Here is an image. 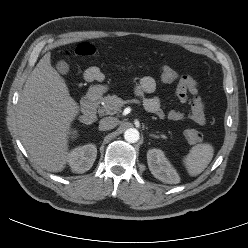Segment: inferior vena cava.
Instances as JSON below:
<instances>
[{"mask_svg":"<svg viewBox=\"0 0 248 248\" xmlns=\"http://www.w3.org/2000/svg\"><path fill=\"white\" fill-rule=\"evenodd\" d=\"M119 120L115 117H105L99 122V129L102 131L110 130L118 125Z\"/></svg>","mask_w":248,"mask_h":248,"instance_id":"1","label":"inferior vena cava"}]
</instances>
